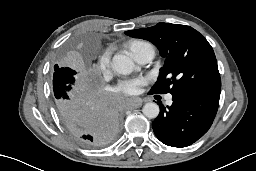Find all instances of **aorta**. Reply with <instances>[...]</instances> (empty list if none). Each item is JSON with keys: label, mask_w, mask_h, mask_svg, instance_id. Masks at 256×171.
<instances>
[{"label": "aorta", "mask_w": 256, "mask_h": 171, "mask_svg": "<svg viewBox=\"0 0 256 171\" xmlns=\"http://www.w3.org/2000/svg\"><path fill=\"white\" fill-rule=\"evenodd\" d=\"M111 66L116 73L122 75L130 74L135 68L133 60L123 54H115ZM142 112L147 118L153 119L159 115L160 109L156 103L148 102L143 106Z\"/></svg>", "instance_id": "aorta-1"}]
</instances>
